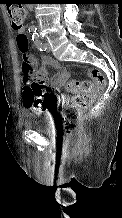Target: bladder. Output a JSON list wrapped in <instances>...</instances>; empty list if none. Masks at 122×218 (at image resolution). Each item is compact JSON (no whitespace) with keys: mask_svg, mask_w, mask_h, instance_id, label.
<instances>
[{"mask_svg":"<svg viewBox=\"0 0 122 218\" xmlns=\"http://www.w3.org/2000/svg\"><path fill=\"white\" fill-rule=\"evenodd\" d=\"M24 126L44 132L49 129V119L42 112H30L24 115Z\"/></svg>","mask_w":122,"mask_h":218,"instance_id":"31cf9c89","label":"bladder"}]
</instances>
